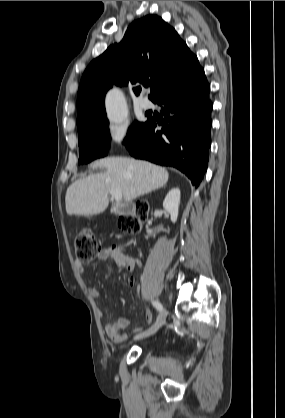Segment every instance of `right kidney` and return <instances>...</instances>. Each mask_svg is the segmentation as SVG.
<instances>
[{
    "mask_svg": "<svg viewBox=\"0 0 285 418\" xmlns=\"http://www.w3.org/2000/svg\"><path fill=\"white\" fill-rule=\"evenodd\" d=\"M180 204V190L179 188L171 189L164 199L163 207L166 212L170 214L171 221L175 223L178 218Z\"/></svg>",
    "mask_w": 285,
    "mask_h": 418,
    "instance_id": "1",
    "label": "right kidney"
}]
</instances>
